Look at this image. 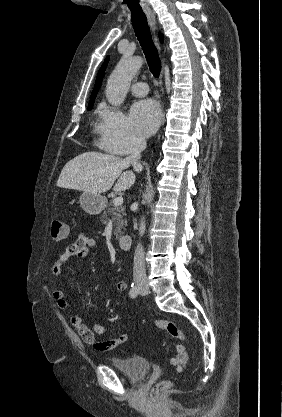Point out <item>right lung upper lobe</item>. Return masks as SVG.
Here are the masks:
<instances>
[{
    "mask_svg": "<svg viewBox=\"0 0 282 417\" xmlns=\"http://www.w3.org/2000/svg\"><path fill=\"white\" fill-rule=\"evenodd\" d=\"M159 38H160V41H163V35L162 34H159ZM108 61H109V57H107L105 59L104 63L102 64L101 68L98 71L97 78H96V82H95V85H94V89H93V91L91 93V96L92 95H96L97 92H98V90H99V88H100L101 81L103 79L104 71H105V68H106V65H107V62Z\"/></svg>",
    "mask_w": 282,
    "mask_h": 417,
    "instance_id": "obj_1",
    "label": "right lung upper lobe"
}]
</instances>
